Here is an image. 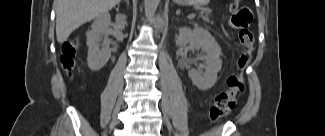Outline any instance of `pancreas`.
<instances>
[{"label": "pancreas", "instance_id": "cf45deb5", "mask_svg": "<svg viewBox=\"0 0 325 136\" xmlns=\"http://www.w3.org/2000/svg\"><path fill=\"white\" fill-rule=\"evenodd\" d=\"M210 17H211L210 12H208V14H207L206 16H203V15L201 14V12L199 13V18H200V19H205V20L208 21V19H210Z\"/></svg>", "mask_w": 325, "mask_h": 136}]
</instances>
